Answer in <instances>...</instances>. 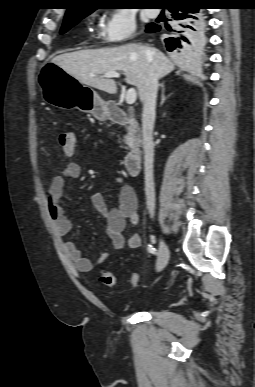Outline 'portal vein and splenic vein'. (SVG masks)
I'll list each match as a JSON object with an SVG mask.
<instances>
[{
  "instance_id": "portal-vein-and-splenic-vein-1",
  "label": "portal vein and splenic vein",
  "mask_w": 255,
  "mask_h": 387,
  "mask_svg": "<svg viewBox=\"0 0 255 387\" xmlns=\"http://www.w3.org/2000/svg\"><path fill=\"white\" fill-rule=\"evenodd\" d=\"M120 76V74L118 72H107V73H104L103 74V77L105 78H118ZM136 98H137V93H136V90L134 88H130L128 89L127 93H126V103L128 105H132L136 102Z\"/></svg>"
}]
</instances>
